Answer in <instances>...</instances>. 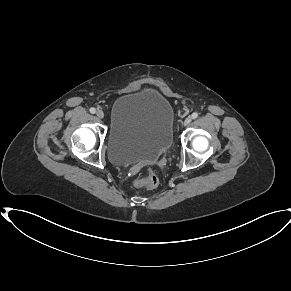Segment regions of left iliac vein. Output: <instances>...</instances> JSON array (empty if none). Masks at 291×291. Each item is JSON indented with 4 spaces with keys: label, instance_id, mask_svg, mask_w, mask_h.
<instances>
[{
    "label": "left iliac vein",
    "instance_id": "obj_1",
    "mask_svg": "<svg viewBox=\"0 0 291 291\" xmlns=\"http://www.w3.org/2000/svg\"><path fill=\"white\" fill-rule=\"evenodd\" d=\"M191 121H192V118H191V117H187V118L185 119V121H184V125H185V126L189 125V124L191 123Z\"/></svg>",
    "mask_w": 291,
    "mask_h": 291
}]
</instances>
